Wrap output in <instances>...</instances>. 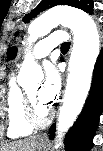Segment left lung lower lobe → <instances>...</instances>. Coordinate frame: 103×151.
I'll use <instances>...</instances> for the list:
<instances>
[{
    "instance_id": "obj_1",
    "label": "left lung lower lobe",
    "mask_w": 103,
    "mask_h": 151,
    "mask_svg": "<svg viewBox=\"0 0 103 151\" xmlns=\"http://www.w3.org/2000/svg\"><path fill=\"white\" fill-rule=\"evenodd\" d=\"M62 60V59H61ZM103 107V48L97 58L89 96L77 121L65 139L67 151H88L92 147L93 137ZM55 125L50 129L53 139Z\"/></svg>"
}]
</instances>
